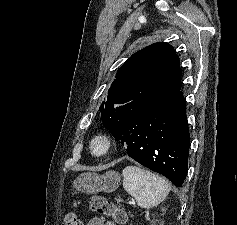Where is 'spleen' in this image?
I'll return each instance as SVG.
<instances>
[{"label":"spleen","instance_id":"obj_1","mask_svg":"<svg viewBox=\"0 0 237 225\" xmlns=\"http://www.w3.org/2000/svg\"><path fill=\"white\" fill-rule=\"evenodd\" d=\"M123 187L136 198L138 206L145 209L160 204L171 190L165 178L137 166L124 168Z\"/></svg>","mask_w":237,"mask_h":225}]
</instances>
